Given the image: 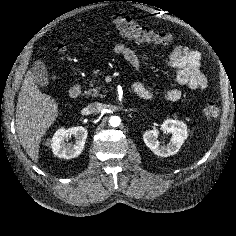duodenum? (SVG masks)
<instances>
[{
    "instance_id": "410a0bca",
    "label": "duodenum",
    "mask_w": 236,
    "mask_h": 236,
    "mask_svg": "<svg viewBox=\"0 0 236 236\" xmlns=\"http://www.w3.org/2000/svg\"><path fill=\"white\" fill-rule=\"evenodd\" d=\"M81 94H82V86L79 83L74 84L69 90V96L73 99L79 98Z\"/></svg>"
}]
</instances>
